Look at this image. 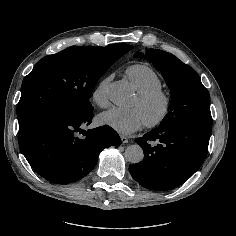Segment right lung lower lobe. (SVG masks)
Segmentation results:
<instances>
[{
  "mask_svg": "<svg viewBox=\"0 0 236 236\" xmlns=\"http://www.w3.org/2000/svg\"><path fill=\"white\" fill-rule=\"evenodd\" d=\"M93 111L81 116L51 114L19 129L20 149L31 167L52 183L80 180L96 165L100 152L121 139L108 125L84 130Z\"/></svg>",
  "mask_w": 236,
  "mask_h": 236,
  "instance_id": "right-lung-lower-lobe-1",
  "label": "right lung lower lobe"
}]
</instances>
